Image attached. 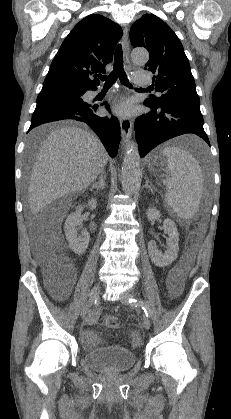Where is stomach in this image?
Listing matches in <instances>:
<instances>
[{"mask_svg":"<svg viewBox=\"0 0 231 419\" xmlns=\"http://www.w3.org/2000/svg\"><path fill=\"white\" fill-rule=\"evenodd\" d=\"M156 163V156L150 155L147 159V164L149 167H152Z\"/></svg>","mask_w":231,"mask_h":419,"instance_id":"0dacf381","label":"stomach"}]
</instances>
